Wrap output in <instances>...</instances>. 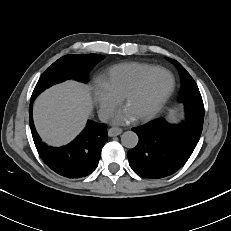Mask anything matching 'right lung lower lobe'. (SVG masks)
Here are the masks:
<instances>
[{"mask_svg":"<svg viewBox=\"0 0 231 231\" xmlns=\"http://www.w3.org/2000/svg\"><path fill=\"white\" fill-rule=\"evenodd\" d=\"M29 107V119L32 137L40 157L57 174L67 178L86 177L93 172L101 157L106 143L107 126L89 120L86 128L70 144L56 148L41 142L32 118V102Z\"/></svg>","mask_w":231,"mask_h":231,"instance_id":"1","label":"right lung lower lobe"}]
</instances>
